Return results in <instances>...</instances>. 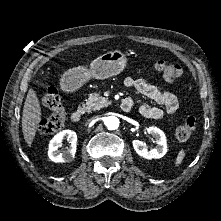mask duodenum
Wrapping results in <instances>:
<instances>
[{
	"mask_svg": "<svg viewBox=\"0 0 221 221\" xmlns=\"http://www.w3.org/2000/svg\"><path fill=\"white\" fill-rule=\"evenodd\" d=\"M64 90L69 91L70 89L68 87H64ZM120 107L124 112H128L131 110V105L128 102H122ZM83 114L84 110L82 108L76 109L71 115L72 122H79Z\"/></svg>",
	"mask_w": 221,
	"mask_h": 221,
	"instance_id": "410a0bca",
	"label": "duodenum"
}]
</instances>
